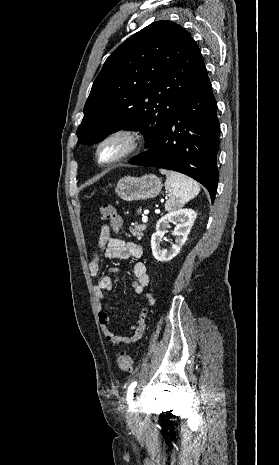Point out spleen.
<instances>
[{
    "label": "spleen",
    "mask_w": 279,
    "mask_h": 465,
    "mask_svg": "<svg viewBox=\"0 0 279 465\" xmlns=\"http://www.w3.org/2000/svg\"><path fill=\"white\" fill-rule=\"evenodd\" d=\"M160 172L167 177L165 189L169 199L165 203L166 211L182 207L199 194L200 186L193 179L173 171L160 170Z\"/></svg>",
    "instance_id": "obj_1"
}]
</instances>
